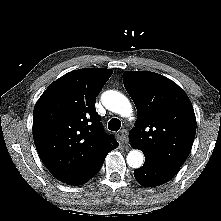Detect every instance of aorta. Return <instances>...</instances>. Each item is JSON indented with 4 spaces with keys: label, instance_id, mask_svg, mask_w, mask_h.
I'll return each instance as SVG.
<instances>
[{
    "label": "aorta",
    "instance_id": "1",
    "mask_svg": "<svg viewBox=\"0 0 221 221\" xmlns=\"http://www.w3.org/2000/svg\"><path fill=\"white\" fill-rule=\"evenodd\" d=\"M102 104L106 109L121 115L131 116L133 109L127 97L118 91L108 90L101 96ZM127 164L132 168H140L144 162V155L140 150H131L126 157Z\"/></svg>",
    "mask_w": 221,
    "mask_h": 221
}]
</instances>
